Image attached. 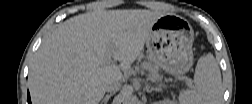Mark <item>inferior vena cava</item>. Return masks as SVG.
Here are the masks:
<instances>
[{"instance_id":"obj_1","label":"inferior vena cava","mask_w":252,"mask_h":104,"mask_svg":"<svg viewBox=\"0 0 252 104\" xmlns=\"http://www.w3.org/2000/svg\"><path fill=\"white\" fill-rule=\"evenodd\" d=\"M121 83L119 80H111L106 85V91L110 93H115L121 89Z\"/></svg>"}]
</instances>
